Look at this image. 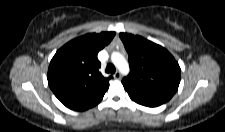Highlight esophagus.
Instances as JSON below:
<instances>
[{"instance_id":"obj_1","label":"esophagus","mask_w":225,"mask_h":132,"mask_svg":"<svg viewBox=\"0 0 225 132\" xmlns=\"http://www.w3.org/2000/svg\"><path fill=\"white\" fill-rule=\"evenodd\" d=\"M114 78L115 79H120L121 78V73L119 71H117L115 74H114Z\"/></svg>"}]
</instances>
